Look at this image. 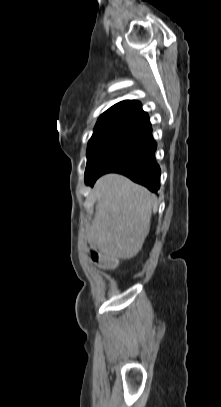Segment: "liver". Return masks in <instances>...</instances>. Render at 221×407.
<instances>
[{
  "mask_svg": "<svg viewBox=\"0 0 221 407\" xmlns=\"http://www.w3.org/2000/svg\"><path fill=\"white\" fill-rule=\"evenodd\" d=\"M96 210L88 242L109 259H130L149 234L156 196L120 174H106L94 185Z\"/></svg>",
  "mask_w": 221,
  "mask_h": 407,
  "instance_id": "6515ba94",
  "label": "liver"
}]
</instances>
